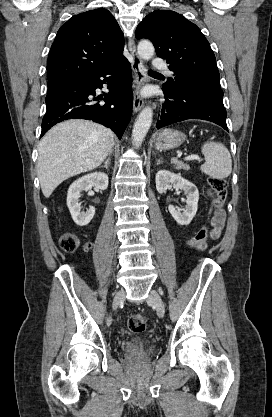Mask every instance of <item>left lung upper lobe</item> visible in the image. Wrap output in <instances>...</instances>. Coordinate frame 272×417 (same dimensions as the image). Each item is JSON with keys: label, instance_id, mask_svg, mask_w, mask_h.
I'll list each match as a JSON object with an SVG mask.
<instances>
[{"label": "left lung upper lobe", "instance_id": "obj_1", "mask_svg": "<svg viewBox=\"0 0 272 417\" xmlns=\"http://www.w3.org/2000/svg\"><path fill=\"white\" fill-rule=\"evenodd\" d=\"M135 36L150 39L157 56L170 64L175 81L168 79L165 85L174 87L185 82L207 94L223 97L214 53L197 25L176 12L156 10L142 20Z\"/></svg>", "mask_w": 272, "mask_h": 417}]
</instances>
